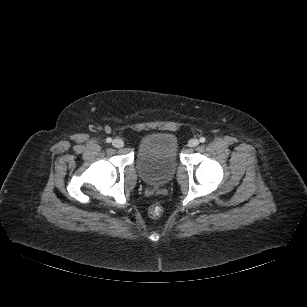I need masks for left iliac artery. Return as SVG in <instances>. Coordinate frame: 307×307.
Instances as JSON below:
<instances>
[{"label":"left iliac artery","mask_w":307,"mask_h":307,"mask_svg":"<svg viewBox=\"0 0 307 307\" xmlns=\"http://www.w3.org/2000/svg\"><path fill=\"white\" fill-rule=\"evenodd\" d=\"M205 141H206V139H205L204 137H201V138H200V142H201V143H204Z\"/></svg>","instance_id":"44dca946"}]
</instances>
